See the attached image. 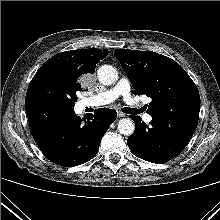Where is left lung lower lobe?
I'll list each match as a JSON object with an SVG mask.
<instances>
[{"label":"left lung lower lobe","mask_w":220,"mask_h":220,"mask_svg":"<svg viewBox=\"0 0 220 220\" xmlns=\"http://www.w3.org/2000/svg\"><path fill=\"white\" fill-rule=\"evenodd\" d=\"M151 116L149 126L139 116L131 117L136 128L127 144L137 157L156 164L165 163L189 143L198 124L199 110H171Z\"/></svg>","instance_id":"1"}]
</instances>
